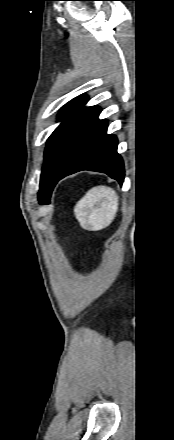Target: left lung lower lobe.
Returning <instances> with one entry per match:
<instances>
[{"label": "left lung lower lobe", "mask_w": 174, "mask_h": 440, "mask_svg": "<svg viewBox=\"0 0 174 440\" xmlns=\"http://www.w3.org/2000/svg\"><path fill=\"white\" fill-rule=\"evenodd\" d=\"M100 108L92 115L78 137L64 167L55 179L56 183L67 175L82 170L103 172L116 179L120 185L124 180V165L117 153V138L107 134V120H99ZM50 197L46 200L48 203Z\"/></svg>", "instance_id": "left-lung-lower-lobe-1"}]
</instances>
